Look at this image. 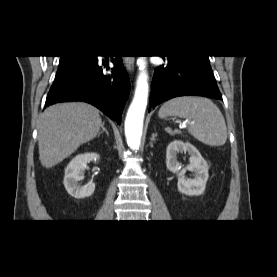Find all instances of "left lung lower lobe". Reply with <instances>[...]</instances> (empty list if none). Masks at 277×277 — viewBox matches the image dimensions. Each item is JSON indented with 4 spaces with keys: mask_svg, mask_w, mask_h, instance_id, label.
Returning a JSON list of instances; mask_svg holds the SVG:
<instances>
[{
    "mask_svg": "<svg viewBox=\"0 0 277 277\" xmlns=\"http://www.w3.org/2000/svg\"><path fill=\"white\" fill-rule=\"evenodd\" d=\"M185 95L222 100L208 56L172 55L168 56L167 65L155 68L150 109L168 99Z\"/></svg>",
    "mask_w": 277,
    "mask_h": 277,
    "instance_id": "left-lung-lower-lobe-1",
    "label": "left lung lower lobe"
}]
</instances>
